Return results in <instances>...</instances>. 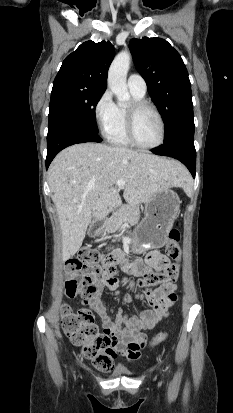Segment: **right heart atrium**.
Here are the masks:
<instances>
[{
	"instance_id": "obj_1",
	"label": "right heart atrium",
	"mask_w": 233,
	"mask_h": 413,
	"mask_svg": "<svg viewBox=\"0 0 233 413\" xmlns=\"http://www.w3.org/2000/svg\"><path fill=\"white\" fill-rule=\"evenodd\" d=\"M93 114L98 128L106 134L112 126L116 114V104L109 90H105L97 99Z\"/></svg>"
}]
</instances>
